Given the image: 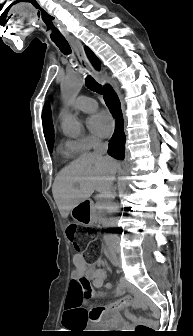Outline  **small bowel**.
<instances>
[{
	"instance_id": "small-bowel-1",
	"label": "small bowel",
	"mask_w": 193,
	"mask_h": 336,
	"mask_svg": "<svg viewBox=\"0 0 193 336\" xmlns=\"http://www.w3.org/2000/svg\"><path fill=\"white\" fill-rule=\"evenodd\" d=\"M74 270L70 280V286L67 293L66 310L62 320V324L69 327L76 323L94 324L111 323L112 325L119 324L118 311L126 307L133 301L142 300L136 291L124 296L121 299L109 304L104 310L92 309L88 311L85 304V297L83 292L87 285H92L98 289H104L101 296L105 297L108 290H112V295L121 296L127 290V282L121 279L116 287L105 283L106 271L99 266L100 262L88 263L86 259L80 255L75 254L73 257Z\"/></svg>"
}]
</instances>
